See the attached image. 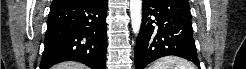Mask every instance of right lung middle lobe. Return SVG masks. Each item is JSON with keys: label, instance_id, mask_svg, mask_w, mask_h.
Wrapping results in <instances>:
<instances>
[{"label": "right lung middle lobe", "instance_id": "right-lung-middle-lobe-1", "mask_svg": "<svg viewBox=\"0 0 246 69\" xmlns=\"http://www.w3.org/2000/svg\"><path fill=\"white\" fill-rule=\"evenodd\" d=\"M72 2H90V1L78 0V1H72Z\"/></svg>", "mask_w": 246, "mask_h": 69}]
</instances>
